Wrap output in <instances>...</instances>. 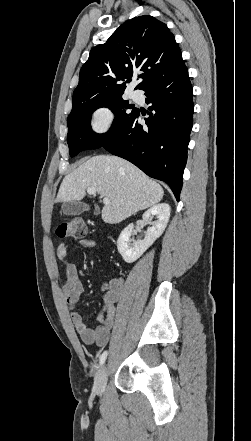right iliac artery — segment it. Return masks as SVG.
<instances>
[{
    "label": "right iliac artery",
    "mask_w": 251,
    "mask_h": 441,
    "mask_svg": "<svg viewBox=\"0 0 251 441\" xmlns=\"http://www.w3.org/2000/svg\"><path fill=\"white\" fill-rule=\"evenodd\" d=\"M107 357V351H104L100 356V365H103Z\"/></svg>",
    "instance_id": "82829eb1"
}]
</instances>
